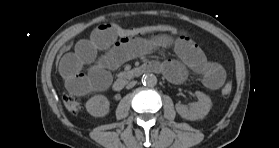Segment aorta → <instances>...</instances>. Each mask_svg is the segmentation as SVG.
Listing matches in <instances>:
<instances>
[{
    "mask_svg": "<svg viewBox=\"0 0 279 148\" xmlns=\"http://www.w3.org/2000/svg\"><path fill=\"white\" fill-rule=\"evenodd\" d=\"M143 85L154 86L157 83V77L152 73H146L142 76Z\"/></svg>",
    "mask_w": 279,
    "mask_h": 148,
    "instance_id": "1",
    "label": "aorta"
}]
</instances>
